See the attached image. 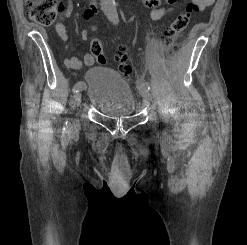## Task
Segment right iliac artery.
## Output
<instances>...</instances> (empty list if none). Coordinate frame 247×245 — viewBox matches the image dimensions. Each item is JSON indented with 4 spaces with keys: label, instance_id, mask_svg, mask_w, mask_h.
Returning <instances> with one entry per match:
<instances>
[{
    "label": "right iliac artery",
    "instance_id": "right-iliac-artery-1",
    "mask_svg": "<svg viewBox=\"0 0 247 245\" xmlns=\"http://www.w3.org/2000/svg\"><path fill=\"white\" fill-rule=\"evenodd\" d=\"M83 87H84V82H83V81H79V82H77V83L74 85V87H73V92H77V91H79V90H82ZM68 126H69V125H68V122H66L64 129H67Z\"/></svg>",
    "mask_w": 247,
    "mask_h": 245
}]
</instances>
